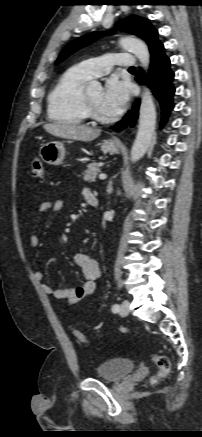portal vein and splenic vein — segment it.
Wrapping results in <instances>:
<instances>
[{"label": "portal vein and splenic vein", "instance_id": "obj_1", "mask_svg": "<svg viewBox=\"0 0 202 437\" xmlns=\"http://www.w3.org/2000/svg\"><path fill=\"white\" fill-rule=\"evenodd\" d=\"M106 178H107L106 174H100L99 175V179H101V180L106 179Z\"/></svg>", "mask_w": 202, "mask_h": 437}]
</instances>
